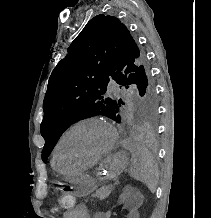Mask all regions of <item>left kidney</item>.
<instances>
[{
  "mask_svg": "<svg viewBox=\"0 0 211 218\" xmlns=\"http://www.w3.org/2000/svg\"><path fill=\"white\" fill-rule=\"evenodd\" d=\"M138 193V192H137ZM121 207H126V218H139L137 207H132V198H126V196H120ZM143 202V196H142ZM142 202L140 204H142ZM110 215H115V210H110Z\"/></svg>",
  "mask_w": 211,
  "mask_h": 218,
  "instance_id": "5707ae66",
  "label": "left kidney"
}]
</instances>
